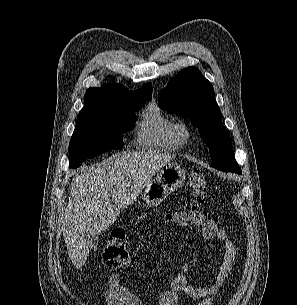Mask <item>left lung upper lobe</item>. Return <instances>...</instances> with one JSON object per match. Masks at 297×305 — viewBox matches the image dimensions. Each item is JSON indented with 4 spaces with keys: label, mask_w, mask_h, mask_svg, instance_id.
Segmentation results:
<instances>
[{
    "label": "left lung upper lobe",
    "mask_w": 297,
    "mask_h": 305,
    "mask_svg": "<svg viewBox=\"0 0 297 305\" xmlns=\"http://www.w3.org/2000/svg\"><path fill=\"white\" fill-rule=\"evenodd\" d=\"M161 109L189 119L209 146L211 166L225 172L241 173L229 134L222 124L212 84L196 67L175 75L159 96Z\"/></svg>",
    "instance_id": "5c2ea615"
}]
</instances>
